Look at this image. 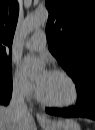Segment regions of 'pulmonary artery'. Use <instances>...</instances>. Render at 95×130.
<instances>
[{
  "label": "pulmonary artery",
  "instance_id": "pulmonary-artery-1",
  "mask_svg": "<svg viewBox=\"0 0 95 130\" xmlns=\"http://www.w3.org/2000/svg\"><path fill=\"white\" fill-rule=\"evenodd\" d=\"M46 45V35L43 31L35 32L34 35L25 43L29 50H41Z\"/></svg>",
  "mask_w": 95,
  "mask_h": 130
}]
</instances>
